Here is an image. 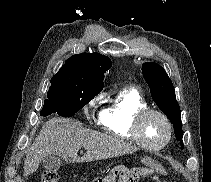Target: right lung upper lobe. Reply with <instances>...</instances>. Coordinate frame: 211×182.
Instances as JSON below:
<instances>
[{"label": "right lung upper lobe", "mask_w": 211, "mask_h": 182, "mask_svg": "<svg viewBox=\"0 0 211 182\" xmlns=\"http://www.w3.org/2000/svg\"><path fill=\"white\" fill-rule=\"evenodd\" d=\"M112 66L111 60L99 53H82L68 58L55 76H64L80 83L104 87V73Z\"/></svg>", "instance_id": "right-lung-upper-lobe-1"}]
</instances>
